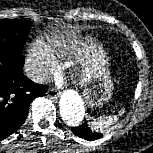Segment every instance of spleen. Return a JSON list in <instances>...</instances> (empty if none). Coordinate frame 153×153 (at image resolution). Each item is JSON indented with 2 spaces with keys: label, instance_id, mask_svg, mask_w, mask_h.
Returning <instances> with one entry per match:
<instances>
[{
  "label": "spleen",
  "instance_id": "1",
  "mask_svg": "<svg viewBox=\"0 0 153 153\" xmlns=\"http://www.w3.org/2000/svg\"><path fill=\"white\" fill-rule=\"evenodd\" d=\"M124 112L125 110L122 108L121 110H119V115L124 114ZM119 115H108L99 118H91L89 120V126L95 131H103L105 128L116 122Z\"/></svg>",
  "mask_w": 153,
  "mask_h": 153
}]
</instances>
